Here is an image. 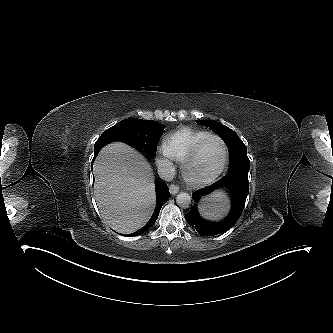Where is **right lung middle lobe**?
<instances>
[{
	"mask_svg": "<svg viewBox=\"0 0 333 333\" xmlns=\"http://www.w3.org/2000/svg\"><path fill=\"white\" fill-rule=\"evenodd\" d=\"M163 129L164 125L156 121L132 118L122 120L106 131L126 137L136 148L154 157Z\"/></svg>",
	"mask_w": 333,
	"mask_h": 333,
	"instance_id": "obj_1",
	"label": "right lung middle lobe"
}]
</instances>
